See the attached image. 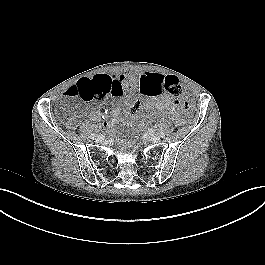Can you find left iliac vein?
Here are the masks:
<instances>
[{
	"instance_id": "4c4485c4",
	"label": "left iliac vein",
	"mask_w": 265,
	"mask_h": 265,
	"mask_svg": "<svg viewBox=\"0 0 265 265\" xmlns=\"http://www.w3.org/2000/svg\"><path fill=\"white\" fill-rule=\"evenodd\" d=\"M148 139L150 142H153V143H158L161 140L160 136H158L156 134H149Z\"/></svg>"
}]
</instances>
